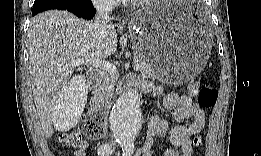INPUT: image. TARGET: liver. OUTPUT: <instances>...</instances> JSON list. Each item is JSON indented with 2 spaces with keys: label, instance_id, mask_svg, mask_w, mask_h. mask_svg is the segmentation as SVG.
Segmentation results:
<instances>
[{
  "label": "liver",
  "instance_id": "obj_1",
  "mask_svg": "<svg viewBox=\"0 0 261 156\" xmlns=\"http://www.w3.org/2000/svg\"><path fill=\"white\" fill-rule=\"evenodd\" d=\"M117 45L114 25L100 38L94 36L91 22L67 11L50 10L32 18L28 30L29 72L46 137L52 136L54 128L63 132L74 127L83 112L84 99L76 94L70 95L74 101L72 119H65L61 112L74 70L70 63L78 59H102L113 54Z\"/></svg>",
  "mask_w": 261,
  "mask_h": 156
}]
</instances>
